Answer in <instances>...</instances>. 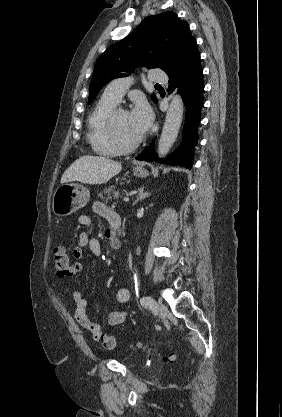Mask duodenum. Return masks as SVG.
<instances>
[{
	"label": "duodenum",
	"instance_id": "1",
	"mask_svg": "<svg viewBox=\"0 0 282 417\" xmlns=\"http://www.w3.org/2000/svg\"><path fill=\"white\" fill-rule=\"evenodd\" d=\"M119 246H120V243H119V242H114V243H113V247H114V248H118Z\"/></svg>",
	"mask_w": 282,
	"mask_h": 417
}]
</instances>
